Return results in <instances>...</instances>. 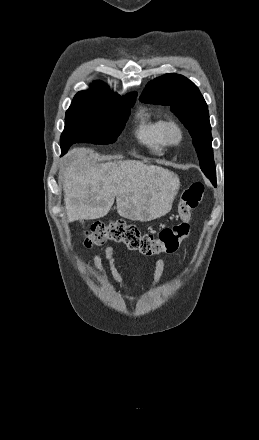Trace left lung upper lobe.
<instances>
[{"instance_id": "1", "label": "left lung upper lobe", "mask_w": 259, "mask_h": 440, "mask_svg": "<svg viewBox=\"0 0 259 440\" xmlns=\"http://www.w3.org/2000/svg\"><path fill=\"white\" fill-rule=\"evenodd\" d=\"M140 101L171 106L189 130L201 170L215 184L216 170L208 107L197 86L182 75L165 74L147 84Z\"/></svg>"}]
</instances>
